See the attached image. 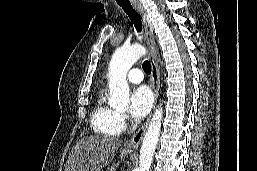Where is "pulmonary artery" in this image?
I'll use <instances>...</instances> for the list:
<instances>
[{"label": "pulmonary artery", "instance_id": "obj_1", "mask_svg": "<svg viewBox=\"0 0 257 171\" xmlns=\"http://www.w3.org/2000/svg\"><path fill=\"white\" fill-rule=\"evenodd\" d=\"M143 78H144L143 73L138 68L131 69L127 74L128 81L133 84L141 83L143 81Z\"/></svg>", "mask_w": 257, "mask_h": 171}]
</instances>
